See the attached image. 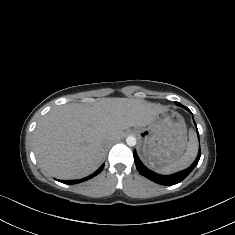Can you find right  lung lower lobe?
Instances as JSON below:
<instances>
[{
  "label": "right lung lower lobe",
  "mask_w": 235,
  "mask_h": 235,
  "mask_svg": "<svg viewBox=\"0 0 235 235\" xmlns=\"http://www.w3.org/2000/svg\"><path fill=\"white\" fill-rule=\"evenodd\" d=\"M103 167L104 166H101L96 172H94L90 176H88L86 178H83V179H80V180H69V181L59 180V181L62 182V183H65V184H77V183H81V182L86 181L88 179H91L92 177H94L97 174H99L102 171Z\"/></svg>",
  "instance_id": "1"
}]
</instances>
